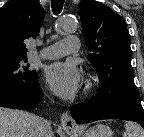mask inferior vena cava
Instances as JSON below:
<instances>
[{"mask_svg":"<svg viewBox=\"0 0 144 137\" xmlns=\"http://www.w3.org/2000/svg\"><path fill=\"white\" fill-rule=\"evenodd\" d=\"M40 137H53V132L51 128V123L47 120H44L40 130Z\"/></svg>","mask_w":144,"mask_h":137,"instance_id":"602c4592","label":"inferior vena cava"}]
</instances>
